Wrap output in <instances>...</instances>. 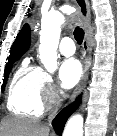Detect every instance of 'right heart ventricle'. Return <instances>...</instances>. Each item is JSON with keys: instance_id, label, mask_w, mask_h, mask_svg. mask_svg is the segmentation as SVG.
<instances>
[{"instance_id": "obj_1", "label": "right heart ventricle", "mask_w": 117, "mask_h": 136, "mask_svg": "<svg viewBox=\"0 0 117 136\" xmlns=\"http://www.w3.org/2000/svg\"><path fill=\"white\" fill-rule=\"evenodd\" d=\"M44 73L27 60L14 73L7 97V107L15 115L39 118L43 115L42 80Z\"/></svg>"}]
</instances>
